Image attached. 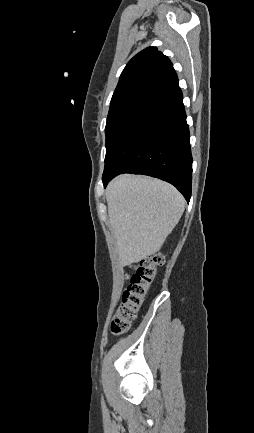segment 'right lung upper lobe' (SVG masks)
I'll use <instances>...</instances> for the list:
<instances>
[{
	"label": "right lung upper lobe",
	"instance_id": "right-lung-upper-lobe-1",
	"mask_svg": "<svg viewBox=\"0 0 254 433\" xmlns=\"http://www.w3.org/2000/svg\"><path fill=\"white\" fill-rule=\"evenodd\" d=\"M176 78L170 60L156 47H148L124 68L110 106L130 101L146 102Z\"/></svg>",
	"mask_w": 254,
	"mask_h": 433
}]
</instances>
